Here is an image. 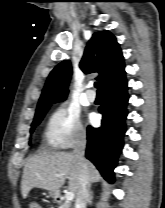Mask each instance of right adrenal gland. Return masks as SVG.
I'll list each match as a JSON object with an SVG mask.
<instances>
[{"label": "right adrenal gland", "mask_w": 165, "mask_h": 208, "mask_svg": "<svg viewBox=\"0 0 165 208\" xmlns=\"http://www.w3.org/2000/svg\"><path fill=\"white\" fill-rule=\"evenodd\" d=\"M92 200H93V192L90 191L88 203H89V204H92Z\"/></svg>", "instance_id": "right-adrenal-gland-1"}]
</instances>
